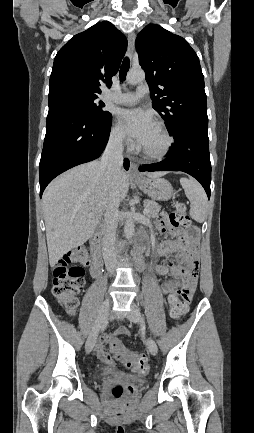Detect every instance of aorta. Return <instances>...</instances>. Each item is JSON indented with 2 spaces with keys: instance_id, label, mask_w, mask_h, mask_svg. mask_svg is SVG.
Here are the masks:
<instances>
[{
  "instance_id": "1",
  "label": "aorta",
  "mask_w": 254,
  "mask_h": 433,
  "mask_svg": "<svg viewBox=\"0 0 254 433\" xmlns=\"http://www.w3.org/2000/svg\"><path fill=\"white\" fill-rule=\"evenodd\" d=\"M127 83L130 85H137L145 80V73L143 70H131L127 74ZM135 224L132 218H128L124 225L125 237L130 240L134 234Z\"/></svg>"
}]
</instances>
